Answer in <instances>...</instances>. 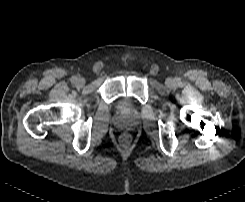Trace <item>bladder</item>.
Masks as SVG:
<instances>
[{
    "label": "bladder",
    "mask_w": 245,
    "mask_h": 202,
    "mask_svg": "<svg viewBox=\"0 0 245 202\" xmlns=\"http://www.w3.org/2000/svg\"><path fill=\"white\" fill-rule=\"evenodd\" d=\"M129 102L130 100L128 98H122L120 101V108H124Z\"/></svg>",
    "instance_id": "bladder-1"
}]
</instances>
